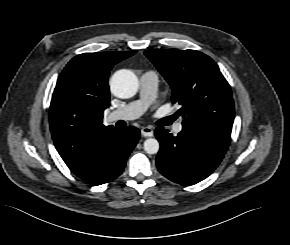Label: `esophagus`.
Returning <instances> with one entry per match:
<instances>
[{
  "label": "esophagus",
  "mask_w": 290,
  "mask_h": 245,
  "mask_svg": "<svg viewBox=\"0 0 290 245\" xmlns=\"http://www.w3.org/2000/svg\"><path fill=\"white\" fill-rule=\"evenodd\" d=\"M141 135L143 137H152L154 135L153 129L149 126L143 127L141 129Z\"/></svg>",
  "instance_id": "1"
}]
</instances>
